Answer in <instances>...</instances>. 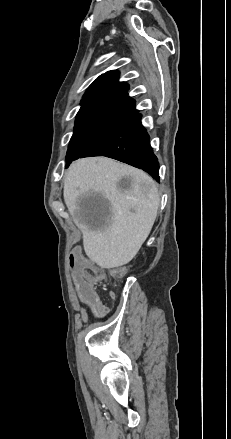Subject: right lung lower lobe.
<instances>
[{
	"instance_id": "98d812e1",
	"label": "right lung lower lobe",
	"mask_w": 231,
	"mask_h": 439,
	"mask_svg": "<svg viewBox=\"0 0 231 439\" xmlns=\"http://www.w3.org/2000/svg\"><path fill=\"white\" fill-rule=\"evenodd\" d=\"M136 113L123 121L79 158L106 156L148 172L159 181V163L150 146V138Z\"/></svg>"
}]
</instances>
